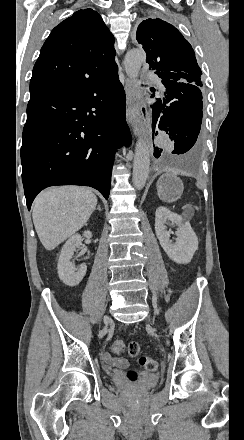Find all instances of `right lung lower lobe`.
<instances>
[{
	"label": "right lung lower lobe",
	"instance_id": "right-lung-lower-lobe-1",
	"mask_svg": "<svg viewBox=\"0 0 244 440\" xmlns=\"http://www.w3.org/2000/svg\"><path fill=\"white\" fill-rule=\"evenodd\" d=\"M117 69L72 87L31 94L22 135L27 207L43 189L83 185L108 199L115 151L129 145Z\"/></svg>",
	"mask_w": 244,
	"mask_h": 440
}]
</instances>
